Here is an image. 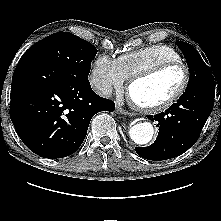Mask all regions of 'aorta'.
Here are the masks:
<instances>
[{
    "instance_id": "obj_1",
    "label": "aorta",
    "mask_w": 221,
    "mask_h": 221,
    "mask_svg": "<svg viewBox=\"0 0 221 221\" xmlns=\"http://www.w3.org/2000/svg\"><path fill=\"white\" fill-rule=\"evenodd\" d=\"M154 134L153 125L150 122H140L129 129L130 138L139 145L149 143Z\"/></svg>"
}]
</instances>
